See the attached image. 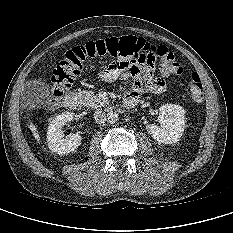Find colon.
Listing matches in <instances>:
<instances>
[{"instance_id":"1","label":"colon","mask_w":233,"mask_h":233,"mask_svg":"<svg viewBox=\"0 0 233 233\" xmlns=\"http://www.w3.org/2000/svg\"><path fill=\"white\" fill-rule=\"evenodd\" d=\"M149 51H156L161 56L160 70L162 75H181L183 67L174 60L172 53L164 46H152L143 38L126 35L106 40L88 42L67 51L51 76L50 92L52 102L63 96L65 91L73 84L80 74L86 60L91 58L111 57L117 61L126 58L145 56ZM115 63V62H114ZM190 97L200 102L203 100V84L197 73H192L188 79Z\"/></svg>"}]
</instances>
